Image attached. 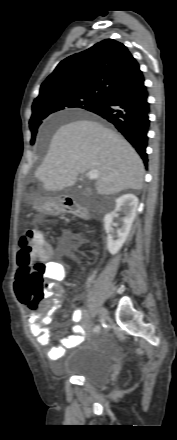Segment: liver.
I'll return each instance as SVG.
<instances>
[{
  "label": "liver",
  "instance_id": "6515ba94",
  "mask_svg": "<svg viewBox=\"0 0 177 440\" xmlns=\"http://www.w3.org/2000/svg\"><path fill=\"white\" fill-rule=\"evenodd\" d=\"M93 169L98 171L100 195L142 188L144 165L139 155L117 132L91 120L74 121L56 131L35 177L46 191H61Z\"/></svg>",
  "mask_w": 177,
  "mask_h": 440
}]
</instances>
